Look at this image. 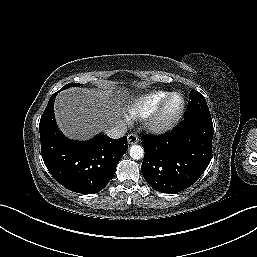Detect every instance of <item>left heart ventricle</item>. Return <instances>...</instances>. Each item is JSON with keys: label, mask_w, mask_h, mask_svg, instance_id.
Returning <instances> with one entry per match:
<instances>
[{"label": "left heart ventricle", "mask_w": 257, "mask_h": 257, "mask_svg": "<svg viewBox=\"0 0 257 257\" xmlns=\"http://www.w3.org/2000/svg\"><path fill=\"white\" fill-rule=\"evenodd\" d=\"M179 105H180V98L179 97H174L171 100V102H170V104L167 108L166 114L167 115L173 114L178 109Z\"/></svg>", "instance_id": "obj_1"}]
</instances>
